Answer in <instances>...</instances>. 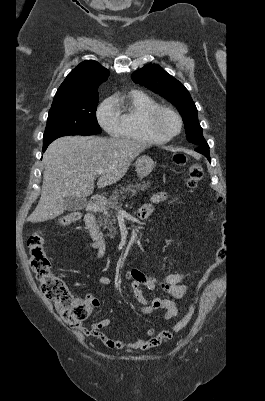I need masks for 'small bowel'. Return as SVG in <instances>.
Masks as SVG:
<instances>
[{
  "label": "small bowel",
  "instance_id": "obj_1",
  "mask_svg": "<svg viewBox=\"0 0 265 401\" xmlns=\"http://www.w3.org/2000/svg\"><path fill=\"white\" fill-rule=\"evenodd\" d=\"M168 195L164 192H159L153 195L149 203L144 204L139 210V217L141 219L148 218L154 206L159 203L166 202ZM87 246L92 247L97 251L99 260L104 258L106 247L103 241H94ZM125 278L130 281L132 292L137 302L142 306V311L146 314H152L156 310H162L163 318L170 319L175 317L180 309L173 300L165 299L162 297H155L149 299L143 292V287L153 291L160 289L171 298L179 299L185 296L188 292V285L185 283V275L182 272L169 273L161 276H156L151 273L142 271L139 268H131L125 273ZM95 280L102 285H110L111 279L107 276H96ZM87 300L94 301L96 305L97 300L87 296ZM110 325L109 319H103L99 322L92 323L88 328H80V330L87 336H93L100 339L107 347L114 349H137L145 350L158 346L163 340H166L165 331L155 334L153 329L149 330L145 338L136 341L125 342L119 339H112L101 332L102 329Z\"/></svg>",
  "mask_w": 265,
  "mask_h": 401
}]
</instances>
